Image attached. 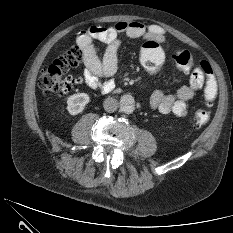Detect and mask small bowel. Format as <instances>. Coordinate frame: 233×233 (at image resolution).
Instances as JSON below:
<instances>
[{
  "mask_svg": "<svg viewBox=\"0 0 233 233\" xmlns=\"http://www.w3.org/2000/svg\"><path fill=\"white\" fill-rule=\"evenodd\" d=\"M120 35L133 39H156L159 42H165L163 31L159 26L147 27L139 21H120L108 27L90 26L81 31L77 36V44L84 52V80L89 88L102 93H109L115 88L111 77L118 67ZM93 40H99L106 45L102 58L97 54ZM205 84L204 73L196 67L190 73L188 84L173 91L155 90L150 97V107L162 114L172 113L177 117H185L188 113L187 101L192 99Z\"/></svg>",
  "mask_w": 233,
  "mask_h": 233,
  "instance_id": "c3829d8e",
  "label": "small bowel"
}]
</instances>
